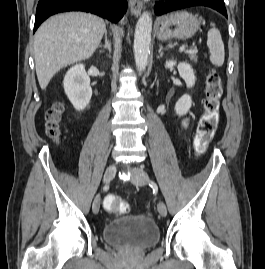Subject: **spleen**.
<instances>
[{"label":"spleen","instance_id":"obj_1","mask_svg":"<svg viewBox=\"0 0 265 269\" xmlns=\"http://www.w3.org/2000/svg\"><path fill=\"white\" fill-rule=\"evenodd\" d=\"M211 26L212 28L207 34V46L210 51V62L216 67H221L225 58L224 44L220 31L215 28V24L212 23Z\"/></svg>","mask_w":265,"mask_h":269}]
</instances>
